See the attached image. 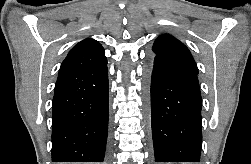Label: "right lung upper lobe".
Listing matches in <instances>:
<instances>
[{
    "instance_id": "1",
    "label": "right lung upper lobe",
    "mask_w": 251,
    "mask_h": 164,
    "mask_svg": "<svg viewBox=\"0 0 251 164\" xmlns=\"http://www.w3.org/2000/svg\"><path fill=\"white\" fill-rule=\"evenodd\" d=\"M107 63L105 52L100 43L87 38L76 44L69 52L59 70L58 78L76 72L90 70Z\"/></svg>"
}]
</instances>
